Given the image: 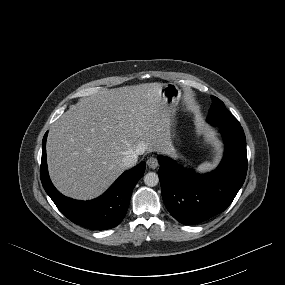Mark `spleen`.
I'll list each match as a JSON object with an SVG mask.
<instances>
[{
	"instance_id": "1",
	"label": "spleen",
	"mask_w": 285,
	"mask_h": 285,
	"mask_svg": "<svg viewBox=\"0 0 285 285\" xmlns=\"http://www.w3.org/2000/svg\"><path fill=\"white\" fill-rule=\"evenodd\" d=\"M212 169H213V164L210 162H207V161L200 164L197 168L198 172H200V173L208 172Z\"/></svg>"
}]
</instances>
